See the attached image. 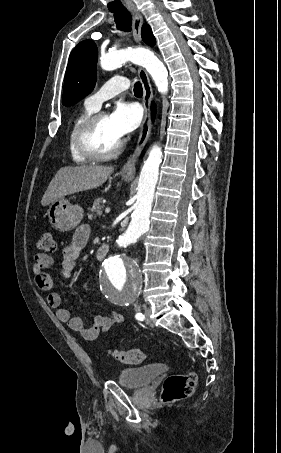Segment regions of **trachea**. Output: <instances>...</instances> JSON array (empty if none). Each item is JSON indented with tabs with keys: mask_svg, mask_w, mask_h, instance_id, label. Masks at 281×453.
Returning a JSON list of instances; mask_svg holds the SVG:
<instances>
[{
	"mask_svg": "<svg viewBox=\"0 0 281 453\" xmlns=\"http://www.w3.org/2000/svg\"><path fill=\"white\" fill-rule=\"evenodd\" d=\"M114 19L115 23L117 25V28L120 31H131V25H132V17L129 12H119L115 13L114 12ZM142 85L140 82H136L134 85V95L141 97L143 95V89Z\"/></svg>",
	"mask_w": 281,
	"mask_h": 453,
	"instance_id": "trachea-1",
	"label": "trachea"
}]
</instances>
